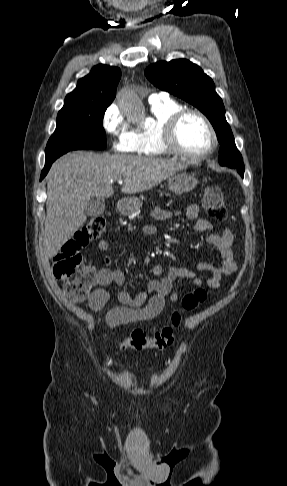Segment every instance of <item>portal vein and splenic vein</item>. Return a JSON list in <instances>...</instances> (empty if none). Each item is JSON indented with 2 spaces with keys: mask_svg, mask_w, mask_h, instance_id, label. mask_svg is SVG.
Instances as JSON below:
<instances>
[{
  "mask_svg": "<svg viewBox=\"0 0 287 486\" xmlns=\"http://www.w3.org/2000/svg\"><path fill=\"white\" fill-rule=\"evenodd\" d=\"M118 183L119 184H122L123 183V180L122 179L118 180Z\"/></svg>",
  "mask_w": 287,
  "mask_h": 486,
  "instance_id": "1",
  "label": "portal vein and splenic vein"
}]
</instances>
